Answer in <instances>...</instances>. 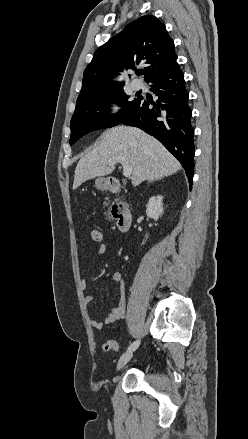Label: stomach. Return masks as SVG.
I'll use <instances>...</instances> for the list:
<instances>
[{"mask_svg":"<svg viewBox=\"0 0 248 439\" xmlns=\"http://www.w3.org/2000/svg\"><path fill=\"white\" fill-rule=\"evenodd\" d=\"M108 184H109V179L104 177H98L95 181V186L100 190L107 189Z\"/></svg>","mask_w":248,"mask_h":439,"instance_id":"obj_1","label":"stomach"}]
</instances>
